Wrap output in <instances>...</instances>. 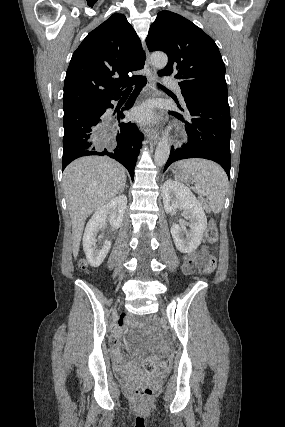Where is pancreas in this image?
Masks as SVG:
<instances>
[{"mask_svg": "<svg viewBox=\"0 0 285 427\" xmlns=\"http://www.w3.org/2000/svg\"><path fill=\"white\" fill-rule=\"evenodd\" d=\"M200 202L202 203V205L204 206V208L209 212V208L206 204V201L204 199H200Z\"/></svg>", "mask_w": 285, "mask_h": 427, "instance_id": "pancreas-1", "label": "pancreas"}]
</instances>
